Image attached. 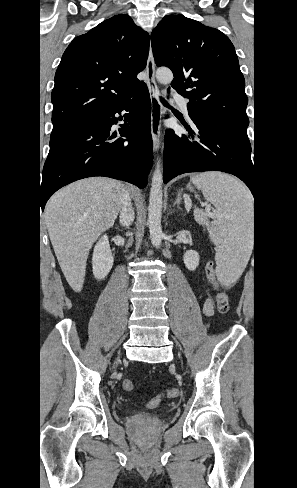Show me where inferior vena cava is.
Here are the masks:
<instances>
[{
    "label": "inferior vena cava",
    "mask_w": 297,
    "mask_h": 488,
    "mask_svg": "<svg viewBox=\"0 0 297 488\" xmlns=\"http://www.w3.org/2000/svg\"><path fill=\"white\" fill-rule=\"evenodd\" d=\"M120 223L123 226H130L134 220V210L132 209L131 206V201L129 195L126 193L124 195L122 205H121V210H120Z\"/></svg>",
    "instance_id": "obj_1"
}]
</instances>
